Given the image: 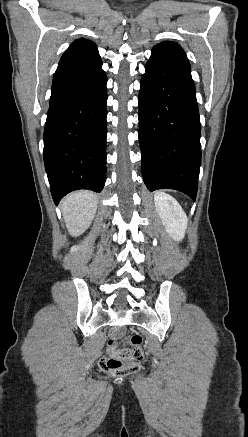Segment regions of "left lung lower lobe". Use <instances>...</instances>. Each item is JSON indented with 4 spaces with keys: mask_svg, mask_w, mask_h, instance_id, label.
I'll return each mask as SVG.
<instances>
[{
    "mask_svg": "<svg viewBox=\"0 0 248 437\" xmlns=\"http://www.w3.org/2000/svg\"><path fill=\"white\" fill-rule=\"evenodd\" d=\"M145 69L138 99L144 182L150 191L175 189L195 201L201 127L190 71L152 61Z\"/></svg>",
    "mask_w": 248,
    "mask_h": 437,
    "instance_id": "obj_1",
    "label": "left lung lower lobe"
}]
</instances>
